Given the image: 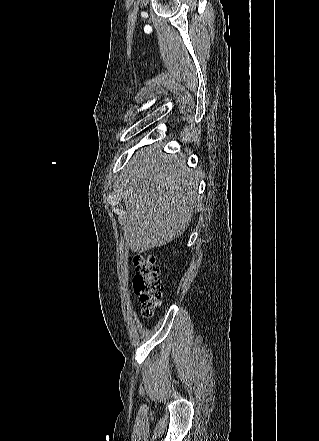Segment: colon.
Wrapping results in <instances>:
<instances>
[{"label":"colon","instance_id":"colon-1","mask_svg":"<svg viewBox=\"0 0 319 441\" xmlns=\"http://www.w3.org/2000/svg\"><path fill=\"white\" fill-rule=\"evenodd\" d=\"M135 276L132 286L141 304L144 317L150 318L161 303L162 284L159 280V269L153 255H136L133 259Z\"/></svg>","mask_w":319,"mask_h":441}]
</instances>
